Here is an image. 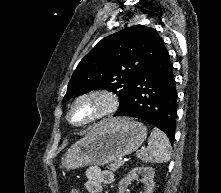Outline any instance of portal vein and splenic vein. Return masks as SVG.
Wrapping results in <instances>:
<instances>
[{
	"instance_id": "obj_1",
	"label": "portal vein and splenic vein",
	"mask_w": 221,
	"mask_h": 193,
	"mask_svg": "<svg viewBox=\"0 0 221 193\" xmlns=\"http://www.w3.org/2000/svg\"><path fill=\"white\" fill-rule=\"evenodd\" d=\"M120 161L124 163V159L123 158H120Z\"/></svg>"
}]
</instances>
